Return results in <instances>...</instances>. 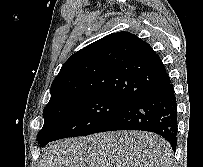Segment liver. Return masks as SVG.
Masks as SVG:
<instances>
[{
    "mask_svg": "<svg viewBox=\"0 0 203 167\" xmlns=\"http://www.w3.org/2000/svg\"><path fill=\"white\" fill-rule=\"evenodd\" d=\"M170 144L142 131L104 132L51 144L38 167H171Z\"/></svg>",
    "mask_w": 203,
    "mask_h": 167,
    "instance_id": "obj_1",
    "label": "liver"
}]
</instances>
